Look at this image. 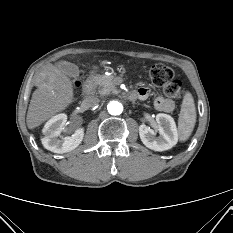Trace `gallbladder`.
Segmentation results:
<instances>
[{"label":"gallbladder","instance_id":"gallbladder-1","mask_svg":"<svg viewBox=\"0 0 233 233\" xmlns=\"http://www.w3.org/2000/svg\"><path fill=\"white\" fill-rule=\"evenodd\" d=\"M59 68L69 77L79 76V67L73 63L62 61L59 63Z\"/></svg>","mask_w":233,"mask_h":233}]
</instances>
